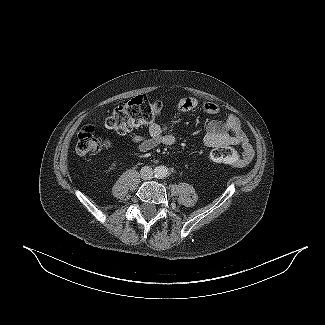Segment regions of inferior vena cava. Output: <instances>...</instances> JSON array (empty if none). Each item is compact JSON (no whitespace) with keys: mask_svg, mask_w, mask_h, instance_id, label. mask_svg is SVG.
<instances>
[{"mask_svg":"<svg viewBox=\"0 0 325 325\" xmlns=\"http://www.w3.org/2000/svg\"><path fill=\"white\" fill-rule=\"evenodd\" d=\"M140 175L143 180H151L154 175V170L150 166H144L140 170Z\"/></svg>","mask_w":325,"mask_h":325,"instance_id":"602c4592","label":"inferior vena cava"}]
</instances>
